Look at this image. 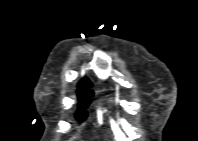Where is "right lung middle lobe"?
I'll use <instances>...</instances> for the list:
<instances>
[{"instance_id": "right-lung-middle-lobe-1", "label": "right lung middle lobe", "mask_w": 198, "mask_h": 141, "mask_svg": "<svg viewBox=\"0 0 198 141\" xmlns=\"http://www.w3.org/2000/svg\"><path fill=\"white\" fill-rule=\"evenodd\" d=\"M90 87L91 86L82 87L78 90L79 107H78L77 119L80 120V121H83L87 116L85 108L90 103L89 98L93 95L92 90L88 89Z\"/></svg>"}]
</instances>
